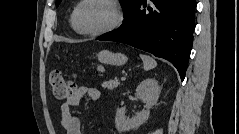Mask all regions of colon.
Here are the masks:
<instances>
[{"instance_id": "obj_1", "label": "colon", "mask_w": 239, "mask_h": 134, "mask_svg": "<svg viewBox=\"0 0 239 134\" xmlns=\"http://www.w3.org/2000/svg\"><path fill=\"white\" fill-rule=\"evenodd\" d=\"M49 84L52 93L59 99L69 98L75 90L74 75L65 77L59 70L50 73Z\"/></svg>"}]
</instances>
